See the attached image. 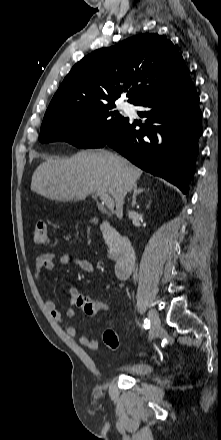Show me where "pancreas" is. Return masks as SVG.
<instances>
[{"label":"pancreas","mask_w":221,"mask_h":440,"mask_svg":"<svg viewBox=\"0 0 221 440\" xmlns=\"http://www.w3.org/2000/svg\"><path fill=\"white\" fill-rule=\"evenodd\" d=\"M121 255H122V251H121V249H120V248L116 249V251H115V257H116V259H118Z\"/></svg>","instance_id":"obj_1"}]
</instances>
